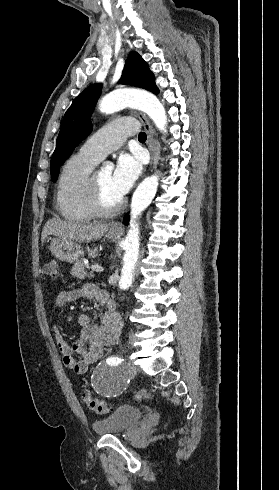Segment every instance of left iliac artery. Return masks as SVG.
<instances>
[{
    "label": "left iliac artery",
    "mask_w": 279,
    "mask_h": 490,
    "mask_svg": "<svg viewBox=\"0 0 279 490\" xmlns=\"http://www.w3.org/2000/svg\"><path fill=\"white\" fill-rule=\"evenodd\" d=\"M122 361H123V359H122V358H120V357H110V358H108V359H107V362H108L109 364H113V365H118V364H120Z\"/></svg>",
    "instance_id": "44dca946"
}]
</instances>
